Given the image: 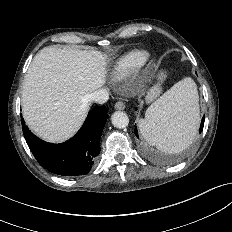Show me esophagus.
<instances>
[{
	"label": "esophagus",
	"instance_id": "1",
	"mask_svg": "<svg viewBox=\"0 0 232 232\" xmlns=\"http://www.w3.org/2000/svg\"><path fill=\"white\" fill-rule=\"evenodd\" d=\"M114 108L116 110H123L125 108V103L122 101H118L115 103Z\"/></svg>",
	"mask_w": 232,
	"mask_h": 232
}]
</instances>
